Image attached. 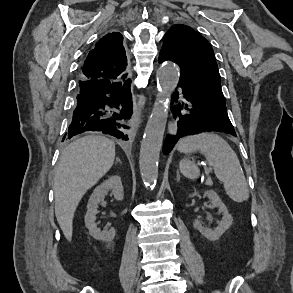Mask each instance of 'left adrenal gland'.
<instances>
[{"instance_id": "1", "label": "left adrenal gland", "mask_w": 293, "mask_h": 293, "mask_svg": "<svg viewBox=\"0 0 293 293\" xmlns=\"http://www.w3.org/2000/svg\"><path fill=\"white\" fill-rule=\"evenodd\" d=\"M176 173H177L176 180H177V182H179V181H180V177H181V176H180V173H179V170H177V172H176Z\"/></svg>"}]
</instances>
